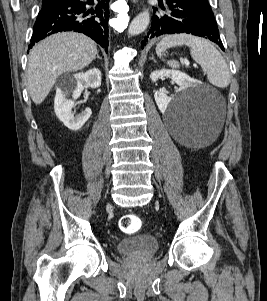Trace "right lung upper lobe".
<instances>
[{"label": "right lung upper lobe", "mask_w": 267, "mask_h": 301, "mask_svg": "<svg viewBox=\"0 0 267 301\" xmlns=\"http://www.w3.org/2000/svg\"><path fill=\"white\" fill-rule=\"evenodd\" d=\"M43 1L46 2L47 5H50V4L56 3L59 0H43Z\"/></svg>", "instance_id": "obj_1"}]
</instances>
